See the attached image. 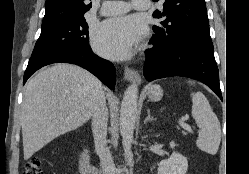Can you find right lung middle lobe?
I'll return each instance as SVG.
<instances>
[{
  "label": "right lung middle lobe",
  "mask_w": 249,
  "mask_h": 174,
  "mask_svg": "<svg viewBox=\"0 0 249 174\" xmlns=\"http://www.w3.org/2000/svg\"><path fill=\"white\" fill-rule=\"evenodd\" d=\"M88 24L84 17L42 26L32 55L57 49H85L89 46Z\"/></svg>",
  "instance_id": "right-lung-middle-lobe-1"
}]
</instances>
